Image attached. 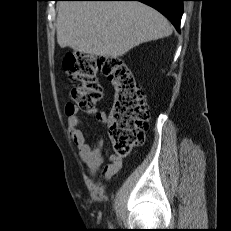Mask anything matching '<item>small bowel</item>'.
Returning <instances> with one entry per match:
<instances>
[{
	"mask_svg": "<svg viewBox=\"0 0 231 231\" xmlns=\"http://www.w3.org/2000/svg\"><path fill=\"white\" fill-rule=\"evenodd\" d=\"M92 114L102 124H106L108 119L106 115L98 110H94ZM67 125L69 134L77 146L80 159L87 165L90 172L95 174L103 163L106 150L104 148V140L99 137L93 144H90L82 129V120L79 116L78 109L69 104L66 106ZM110 162L103 170V177L105 179L111 178L116 174L121 167V159L116 155H110Z\"/></svg>",
	"mask_w": 231,
	"mask_h": 231,
	"instance_id": "1",
	"label": "small bowel"
}]
</instances>
